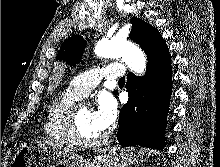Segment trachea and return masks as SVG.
Masks as SVG:
<instances>
[{"label": "trachea", "instance_id": "obj_1", "mask_svg": "<svg viewBox=\"0 0 220 167\" xmlns=\"http://www.w3.org/2000/svg\"><path fill=\"white\" fill-rule=\"evenodd\" d=\"M118 83H121V84L125 83V78L122 77L121 79H119Z\"/></svg>", "mask_w": 220, "mask_h": 167}]
</instances>
